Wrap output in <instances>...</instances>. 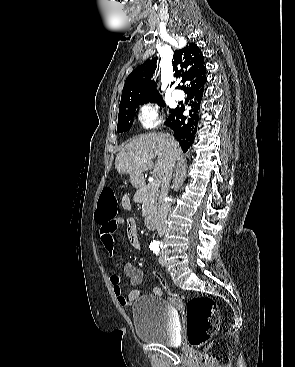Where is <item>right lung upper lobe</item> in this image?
I'll list each match as a JSON object with an SVG mask.
<instances>
[{"label":"right lung upper lobe","instance_id":"obj_1","mask_svg":"<svg viewBox=\"0 0 295 367\" xmlns=\"http://www.w3.org/2000/svg\"><path fill=\"white\" fill-rule=\"evenodd\" d=\"M156 60L157 58L147 60L127 77L119 108L127 102L148 101L161 97L154 87L155 82L150 81ZM172 64L175 76L181 77V81L187 83L183 88L185 93L206 82L203 54L196 44L189 43L183 49L174 51Z\"/></svg>","mask_w":295,"mask_h":367}]
</instances>
